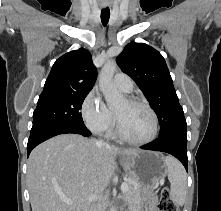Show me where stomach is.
I'll list each match as a JSON object with an SVG mask.
<instances>
[{"instance_id":"stomach-1","label":"stomach","mask_w":221,"mask_h":211,"mask_svg":"<svg viewBox=\"0 0 221 211\" xmlns=\"http://www.w3.org/2000/svg\"><path fill=\"white\" fill-rule=\"evenodd\" d=\"M162 154L152 151H139L132 156H123L122 166L126 174L140 185L142 195L148 202L152 190L167 174V166ZM142 203L140 208L146 204Z\"/></svg>"}]
</instances>
